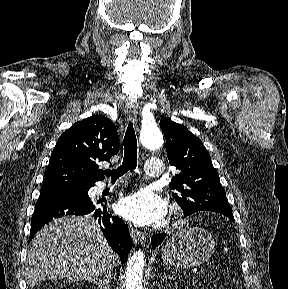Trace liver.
<instances>
[{
	"instance_id": "1",
	"label": "liver",
	"mask_w": 288,
	"mask_h": 289,
	"mask_svg": "<svg viewBox=\"0 0 288 289\" xmlns=\"http://www.w3.org/2000/svg\"><path fill=\"white\" fill-rule=\"evenodd\" d=\"M115 264V253L90 215L64 216L34 236L25 278L30 286L46 279L91 281Z\"/></svg>"
}]
</instances>
